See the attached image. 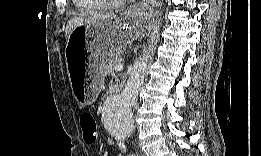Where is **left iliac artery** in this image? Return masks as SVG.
<instances>
[{"instance_id":"1","label":"left iliac artery","mask_w":261,"mask_h":156,"mask_svg":"<svg viewBox=\"0 0 261 156\" xmlns=\"http://www.w3.org/2000/svg\"><path fill=\"white\" fill-rule=\"evenodd\" d=\"M120 147H121V149H123L124 152L126 151V147L123 142L122 143L120 142ZM132 156H134V155H132Z\"/></svg>"}]
</instances>
